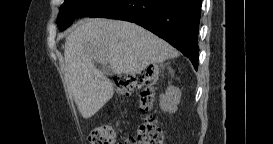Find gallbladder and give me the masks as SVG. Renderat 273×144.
<instances>
[{
	"label": "gallbladder",
	"instance_id": "bac80fb5",
	"mask_svg": "<svg viewBox=\"0 0 273 144\" xmlns=\"http://www.w3.org/2000/svg\"><path fill=\"white\" fill-rule=\"evenodd\" d=\"M101 71H102V73H104L105 74V76H114V69L116 68L114 65H100L99 67H98Z\"/></svg>",
	"mask_w": 273,
	"mask_h": 144
}]
</instances>
